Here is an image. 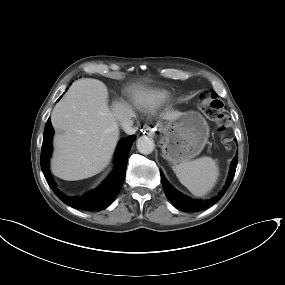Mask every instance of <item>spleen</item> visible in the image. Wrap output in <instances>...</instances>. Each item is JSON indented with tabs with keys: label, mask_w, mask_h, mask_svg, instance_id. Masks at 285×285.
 Masks as SVG:
<instances>
[{
	"label": "spleen",
	"mask_w": 285,
	"mask_h": 285,
	"mask_svg": "<svg viewBox=\"0 0 285 285\" xmlns=\"http://www.w3.org/2000/svg\"><path fill=\"white\" fill-rule=\"evenodd\" d=\"M172 168L180 183L198 197L209 193L219 177L216 160L208 156L174 164Z\"/></svg>",
	"instance_id": "obj_1"
}]
</instances>
